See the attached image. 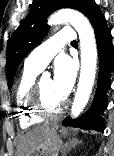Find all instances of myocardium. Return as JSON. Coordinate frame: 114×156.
Listing matches in <instances>:
<instances>
[{"instance_id": "f54148a6", "label": "myocardium", "mask_w": 114, "mask_h": 156, "mask_svg": "<svg viewBox=\"0 0 114 156\" xmlns=\"http://www.w3.org/2000/svg\"><path fill=\"white\" fill-rule=\"evenodd\" d=\"M30 104L32 109L39 116L45 118H53L58 117L64 113L67 103L65 100H63L57 108L50 109L45 102V98L41 88V79H39L36 80L33 85L30 97Z\"/></svg>"}]
</instances>
